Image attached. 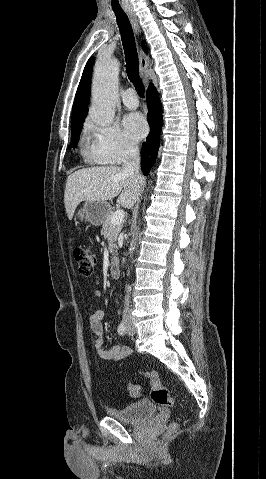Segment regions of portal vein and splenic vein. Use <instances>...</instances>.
Returning a JSON list of instances; mask_svg holds the SVG:
<instances>
[{
    "instance_id": "18ae733b",
    "label": "portal vein and splenic vein",
    "mask_w": 266,
    "mask_h": 479,
    "mask_svg": "<svg viewBox=\"0 0 266 479\" xmlns=\"http://www.w3.org/2000/svg\"><path fill=\"white\" fill-rule=\"evenodd\" d=\"M125 212L123 210H117L112 218H111V223L113 225H119L123 222Z\"/></svg>"
}]
</instances>
